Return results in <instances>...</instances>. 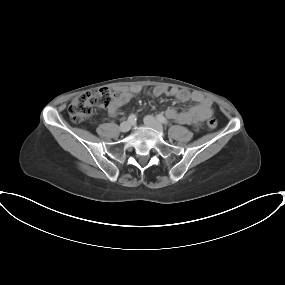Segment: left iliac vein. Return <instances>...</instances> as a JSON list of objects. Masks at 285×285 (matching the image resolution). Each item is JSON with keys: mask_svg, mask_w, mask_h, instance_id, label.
Wrapping results in <instances>:
<instances>
[{"mask_svg": "<svg viewBox=\"0 0 285 285\" xmlns=\"http://www.w3.org/2000/svg\"><path fill=\"white\" fill-rule=\"evenodd\" d=\"M144 124L147 126V127H150L152 129H155L156 131L158 132H162V125L160 124L159 121H157L153 116H146L144 118Z\"/></svg>", "mask_w": 285, "mask_h": 285, "instance_id": "obj_1", "label": "left iliac vein"}]
</instances>
